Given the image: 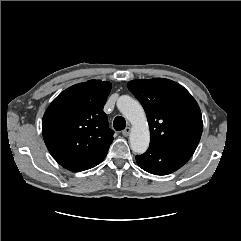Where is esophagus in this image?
I'll list each match as a JSON object with an SVG mask.
<instances>
[{
	"instance_id": "34e87169",
	"label": "esophagus",
	"mask_w": 241,
	"mask_h": 241,
	"mask_svg": "<svg viewBox=\"0 0 241 241\" xmlns=\"http://www.w3.org/2000/svg\"><path fill=\"white\" fill-rule=\"evenodd\" d=\"M131 132V128L130 127H126L123 131H122V135L123 136H128Z\"/></svg>"
}]
</instances>
